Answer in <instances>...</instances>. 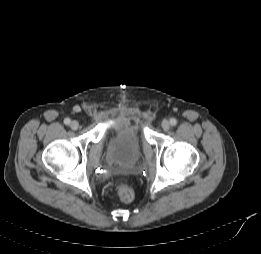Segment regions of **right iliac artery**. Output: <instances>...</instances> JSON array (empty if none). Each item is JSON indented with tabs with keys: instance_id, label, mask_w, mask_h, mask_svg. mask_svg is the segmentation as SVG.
<instances>
[{
	"instance_id": "82829eb1",
	"label": "right iliac artery",
	"mask_w": 261,
	"mask_h": 254,
	"mask_svg": "<svg viewBox=\"0 0 261 254\" xmlns=\"http://www.w3.org/2000/svg\"><path fill=\"white\" fill-rule=\"evenodd\" d=\"M70 122H71V120H70L69 118H65V119H64V123H65L66 125H69Z\"/></svg>"
}]
</instances>
